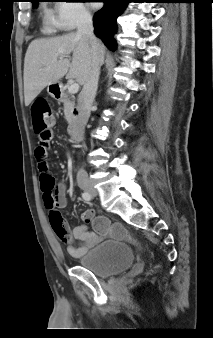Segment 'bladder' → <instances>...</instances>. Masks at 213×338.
Returning a JSON list of instances; mask_svg holds the SVG:
<instances>
[{"label":"bladder","mask_w":213,"mask_h":338,"mask_svg":"<svg viewBox=\"0 0 213 338\" xmlns=\"http://www.w3.org/2000/svg\"><path fill=\"white\" fill-rule=\"evenodd\" d=\"M133 262L134 256L130 246L117 242H100L79 259V265L98 278L120 274Z\"/></svg>","instance_id":"obj_1"}]
</instances>
